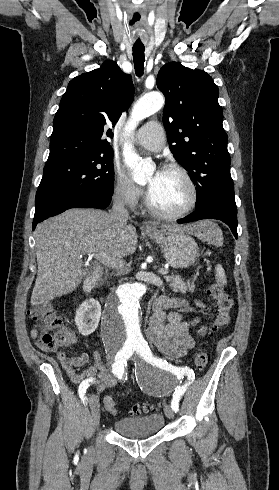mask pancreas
Masks as SVG:
<instances>
[{"label":"pancreas","mask_w":279,"mask_h":490,"mask_svg":"<svg viewBox=\"0 0 279 490\" xmlns=\"http://www.w3.org/2000/svg\"><path fill=\"white\" fill-rule=\"evenodd\" d=\"M124 266H119V268H116V270H122ZM166 282H168L170 288H173L174 292H177V290H183V292H186V290H194V282H183L181 280L180 276H166V274H163Z\"/></svg>","instance_id":"1"}]
</instances>
